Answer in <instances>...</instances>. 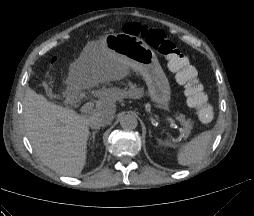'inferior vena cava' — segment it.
Here are the masks:
<instances>
[{
	"label": "inferior vena cava",
	"mask_w": 254,
	"mask_h": 216,
	"mask_svg": "<svg viewBox=\"0 0 254 216\" xmlns=\"http://www.w3.org/2000/svg\"><path fill=\"white\" fill-rule=\"evenodd\" d=\"M110 123V120L106 119L105 117L101 116L100 114H94L89 117V126L92 129H99L104 127Z\"/></svg>",
	"instance_id": "inferior-vena-cava-1"
}]
</instances>
